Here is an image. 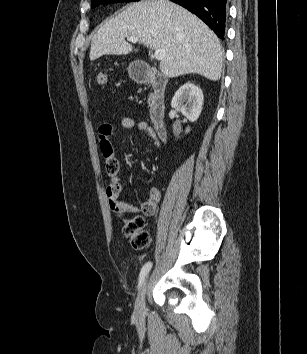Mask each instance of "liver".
Masks as SVG:
<instances>
[{"label":"liver","mask_w":307,"mask_h":354,"mask_svg":"<svg viewBox=\"0 0 307 354\" xmlns=\"http://www.w3.org/2000/svg\"><path fill=\"white\" fill-rule=\"evenodd\" d=\"M129 36L152 49L165 50L159 66L166 77L190 73L212 81L221 77L223 49L219 38L197 16L175 3L142 0L126 7L94 35L90 60L137 51L125 41Z\"/></svg>","instance_id":"obj_1"}]
</instances>
